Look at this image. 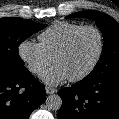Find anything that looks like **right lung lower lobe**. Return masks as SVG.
I'll return each mask as SVG.
<instances>
[{
	"label": "right lung lower lobe",
	"mask_w": 119,
	"mask_h": 119,
	"mask_svg": "<svg viewBox=\"0 0 119 119\" xmlns=\"http://www.w3.org/2000/svg\"><path fill=\"white\" fill-rule=\"evenodd\" d=\"M45 98L44 85L26 67L0 69V119H29Z\"/></svg>",
	"instance_id": "1"
}]
</instances>
